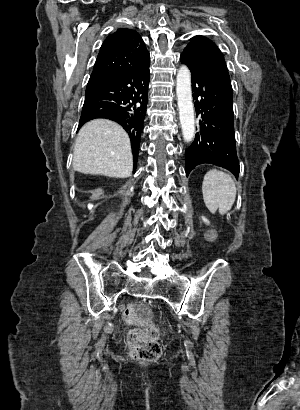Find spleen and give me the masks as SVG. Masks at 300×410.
I'll return each instance as SVG.
<instances>
[{"instance_id": "1", "label": "spleen", "mask_w": 300, "mask_h": 410, "mask_svg": "<svg viewBox=\"0 0 300 410\" xmlns=\"http://www.w3.org/2000/svg\"><path fill=\"white\" fill-rule=\"evenodd\" d=\"M236 185L230 175L213 169L208 171L202 183L203 199L211 213L219 210L224 215L231 209L236 198Z\"/></svg>"}]
</instances>
